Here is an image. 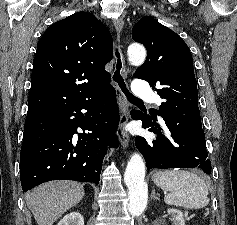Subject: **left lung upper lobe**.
I'll list each match as a JSON object with an SVG mask.
<instances>
[{
    "mask_svg": "<svg viewBox=\"0 0 237 225\" xmlns=\"http://www.w3.org/2000/svg\"><path fill=\"white\" fill-rule=\"evenodd\" d=\"M132 33L147 49L146 61L134 76L146 80L164 99L158 110H149L150 116L198 105L193 59L183 39L152 17L140 19Z\"/></svg>",
    "mask_w": 237,
    "mask_h": 225,
    "instance_id": "left-lung-upper-lobe-1",
    "label": "left lung upper lobe"
}]
</instances>
